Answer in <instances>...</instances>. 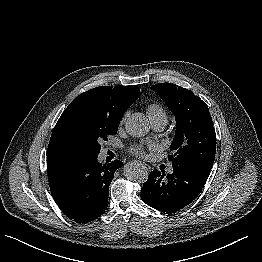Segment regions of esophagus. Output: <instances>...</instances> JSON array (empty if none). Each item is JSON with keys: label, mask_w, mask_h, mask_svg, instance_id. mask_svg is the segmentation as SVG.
I'll return each instance as SVG.
<instances>
[{"label": "esophagus", "mask_w": 262, "mask_h": 262, "mask_svg": "<svg viewBox=\"0 0 262 262\" xmlns=\"http://www.w3.org/2000/svg\"><path fill=\"white\" fill-rule=\"evenodd\" d=\"M140 164L142 165V167L146 170V171H150L151 167L146 164V163H143V162H140Z\"/></svg>", "instance_id": "esophagus-1"}]
</instances>
